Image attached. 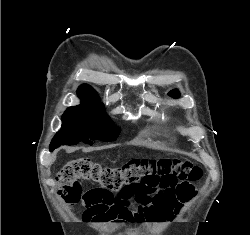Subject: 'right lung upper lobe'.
<instances>
[{
    "label": "right lung upper lobe",
    "instance_id": "cb5924a9",
    "mask_svg": "<svg viewBox=\"0 0 250 235\" xmlns=\"http://www.w3.org/2000/svg\"><path fill=\"white\" fill-rule=\"evenodd\" d=\"M77 93L84 103H100L96 91L87 84L81 85Z\"/></svg>",
    "mask_w": 250,
    "mask_h": 235
}]
</instances>
